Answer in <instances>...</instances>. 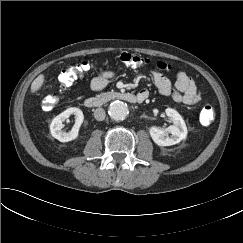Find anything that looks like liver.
I'll return each instance as SVG.
<instances>
[{"instance_id": "6515ba94", "label": "liver", "mask_w": 243, "mask_h": 243, "mask_svg": "<svg viewBox=\"0 0 243 243\" xmlns=\"http://www.w3.org/2000/svg\"><path fill=\"white\" fill-rule=\"evenodd\" d=\"M44 83V75L40 74L31 84V92L34 93L38 91Z\"/></svg>"}]
</instances>
